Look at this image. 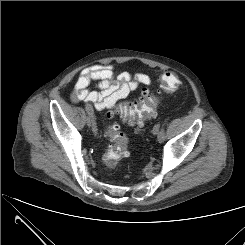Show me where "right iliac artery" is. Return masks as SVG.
Returning a JSON list of instances; mask_svg holds the SVG:
<instances>
[{"mask_svg": "<svg viewBox=\"0 0 245 245\" xmlns=\"http://www.w3.org/2000/svg\"><path fill=\"white\" fill-rule=\"evenodd\" d=\"M86 111L87 113L92 117L93 119V131L94 132H97V126H96V121H95V118H94V115H93V108L91 107H86Z\"/></svg>", "mask_w": 245, "mask_h": 245, "instance_id": "1", "label": "right iliac artery"}]
</instances>
